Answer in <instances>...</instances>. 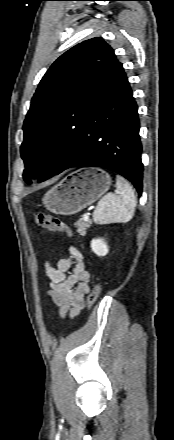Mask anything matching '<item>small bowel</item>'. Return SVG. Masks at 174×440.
I'll return each instance as SVG.
<instances>
[{
  "label": "small bowel",
  "instance_id": "obj_1",
  "mask_svg": "<svg viewBox=\"0 0 174 440\" xmlns=\"http://www.w3.org/2000/svg\"><path fill=\"white\" fill-rule=\"evenodd\" d=\"M69 257L55 265L46 262L45 271L50 282L48 296L58 307L60 317H75L85 307L89 292L90 273L84 268L83 256L76 247H70Z\"/></svg>",
  "mask_w": 174,
  "mask_h": 440
}]
</instances>
